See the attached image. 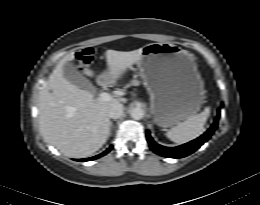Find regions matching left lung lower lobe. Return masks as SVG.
<instances>
[{"mask_svg":"<svg viewBox=\"0 0 260 205\" xmlns=\"http://www.w3.org/2000/svg\"><path fill=\"white\" fill-rule=\"evenodd\" d=\"M219 117L220 113L218 112L217 118L214 120V123L210 127V129L202 136L189 143L177 147H164L154 142L148 131L146 133L147 141L149 142L150 148L158 155L168 158H182L196 151L204 142H206L211 137V135L214 133V130L217 128Z\"/></svg>","mask_w":260,"mask_h":205,"instance_id":"left-lung-lower-lobe-1","label":"left lung lower lobe"}]
</instances>
